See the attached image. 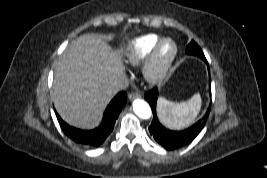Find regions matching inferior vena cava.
Wrapping results in <instances>:
<instances>
[{
	"instance_id": "602c4592",
	"label": "inferior vena cava",
	"mask_w": 267,
	"mask_h": 178,
	"mask_svg": "<svg viewBox=\"0 0 267 178\" xmlns=\"http://www.w3.org/2000/svg\"><path fill=\"white\" fill-rule=\"evenodd\" d=\"M128 85V79L125 76H122L110 84V86L108 87V91L112 94H116L121 90H125Z\"/></svg>"
}]
</instances>
